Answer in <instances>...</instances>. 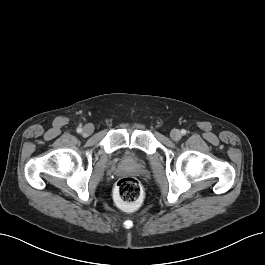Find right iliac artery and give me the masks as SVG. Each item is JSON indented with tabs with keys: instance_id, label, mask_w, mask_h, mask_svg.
<instances>
[{
	"instance_id": "1",
	"label": "right iliac artery",
	"mask_w": 265,
	"mask_h": 265,
	"mask_svg": "<svg viewBox=\"0 0 265 265\" xmlns=\"http://www.w3.org/2000/svg\"><path fill=\"white\" fill-rule=\"evenodd\" d=\"M77 132H78V133H81V132H82V128H80V127L77 128Z\"/></svg>"
}]
</instances>
